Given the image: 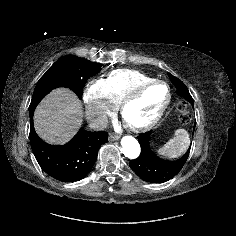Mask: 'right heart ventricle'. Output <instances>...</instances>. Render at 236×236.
Returning a JSON list of instances; mask_svg holds the SVG:
<instances>
[{"label":"right heart ventricle","mask_w":236,"mask_h":236,"mask_svg":"<svg viewBox=\"0 0 236 236\" xmlns=\"http://www.w3.org/2000/svg\"><path fill=\"white\" fill-rule=\"evenodd\" d=\"M152 79L154 78L141 71L121 68L112 70L103 80L108 99L117 106L136 86Z\"/></svg>","instance_id":"right-heart-ventricle-1"}]
</instances>
